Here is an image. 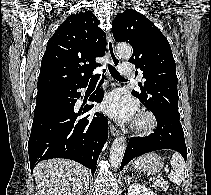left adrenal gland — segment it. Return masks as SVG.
Listing matches in <instances>:
<instances>
[{"label": "left adrenal gland", "mask_w": 211, "mask_h": 195, "mask_svg": "<svg viewBox=\"0 0 211 195\" xmlns=\"http://www.w3.org/2000/svg\"><path fill=\"white\" fill-rule=\"evenodd\" d=\"M127 181H128V183L130 182V180H131V176L129 175V174H127ZM133 177V176H132Z\"/></svg>", "instance_id": "1"}]
</instances>
